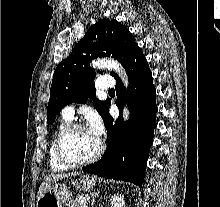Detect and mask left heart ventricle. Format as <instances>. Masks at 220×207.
Masks as SVG:
<instances>
[{
    "label": "left heart ventricle",
    "instance_id": "obj_1",
    "mask_svg": "<svg viewBox=\"0 0 220 207\" xmlns=\"http://www.w3.org/2000/svg\"><path fill=\"white\" fill-rule=\"evenodd\" d=\"M98 145L99 139L88 129H77L64 139L63 152L71 161H83L96 152Z\"/></svg>",
    "mask_w": 220,
    "mask_h": 207
}]
</instances>
